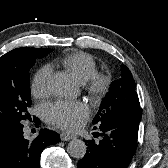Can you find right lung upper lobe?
<instances>
[{
  "label": "right lung upper lobe",
  "instance_id": "1",
  "mask_svg": "<svg viewBox=\"0 0 168 168\" xmlns=\"http://www.w3.org/2000/svg\"><path fill=\"white\" fill-rule=\"evenodd\" d=\"M44 48H17L14 49L2 57H0V73H3L9 69H11L17 62L19 56L26 52V51H31V50H40Z\"/></svg>",
  "mask_w": 168,
  "mask_h": 168
}]
</instances>
